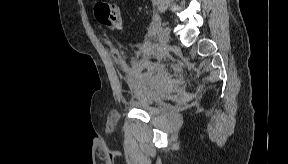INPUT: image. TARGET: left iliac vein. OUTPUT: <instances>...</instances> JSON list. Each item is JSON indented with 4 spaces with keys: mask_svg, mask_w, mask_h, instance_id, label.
<instances>
[{
    "mask_svg": "<svg viewBox=\"0 0 288 164\" xmlns=\"http://www.w3.org/2000/svg\"><path fill=\"white\" fill-rule=\"evenodd\" d=\"M170 36V29L167 26L161 27L157 35V50L163 51L168 44Z\"/></svg>",
    "mask_w": 288,
    "mask_h": 164,
    "instance_id": "obj_1",
    "label": "left iliac vein"
}]
</instances>
